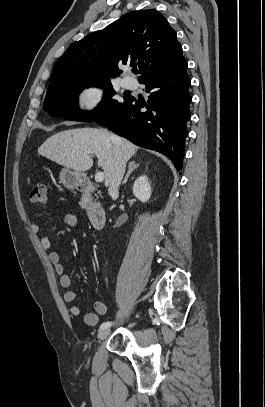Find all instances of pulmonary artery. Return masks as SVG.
<instances>
[{"instance_id":"e3ab8cb5","label":"pulmonary artery","mask_w":265,"mask_h":407,"mask_svg":"<svg viewBox=\"0 0 265 407\" xmlns=\"http://www.w3.org/2000/svg\"><path fill=\"white\" fill-rule=\"evenodd\" d=\"M122 84L127 89H132L136 85L135 81L131 78H124Z\"/></svg>"}]
</instances>
